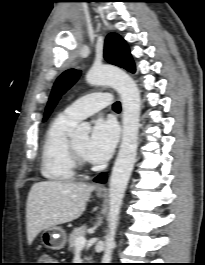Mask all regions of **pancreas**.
Here are the masks:
<instances>
[{"label": "pancreas", "mask_w": 205, "mask_h": 265, "mask_svg": "<svg viewBox=\"0 0 205 265\" xmlns=\"http://www.w3.org/2000/svg\"><path fill=\"white\" fill-rule=\"evenodd\" d=\"M86 226L82 225L78 228H74V230L71 232V234L69 235V250L70 251H75V247H76V239L80 236H84L86 234ZM85 260H89V258H85Z\"/></svg>", "instance_id": "cf45deb5"}]
</instances>
